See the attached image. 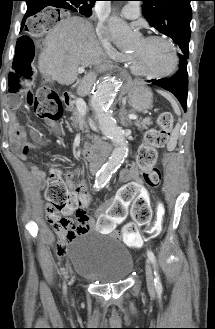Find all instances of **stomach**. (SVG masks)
Here are the masks:
<instances>
[{
    "mask_svg": "<svg viewBox=\"0 0 215 329\" xmlns=\"http://www.w3.org/2000/svg\"><path fill=\"white\" fill-rule=\"evenodd\" d=\"M128 100L135 112H144L152 108L153 94L148 87L131 83L128 85Z\"/></svg>",
    "mask_w": 215,
    "mask_h": 329,
    "instance_id": "stomach-1",
    "label": "stomach"
}]
</instances>
